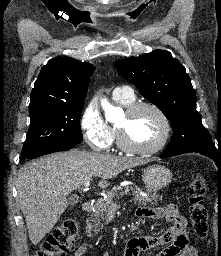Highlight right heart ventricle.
Wrapping results in <instances>:
<instances>
[{"label": "right heart ventricle", "instance_id": "1", "mask_svg": "<svg viewBox=\"0 0 221 256\" xmlns=\"http://www.w3.org/2000/svg\"><path fill=\"white\" fill-rule=\"evenodd\" d=\"M114 100L119 103L120 105H123V106H129L130 104L134 103V98L132 99H125V98H117V97H114Z\"/></svg>", "mask_w": 221, "mask_h": 256}]
</instances>
